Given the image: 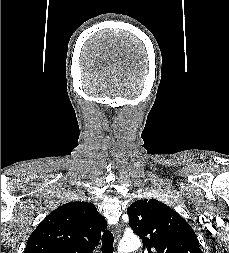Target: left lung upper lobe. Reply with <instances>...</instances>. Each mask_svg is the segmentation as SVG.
I'll use <instances>...</instances> for the list:
<instances>
[{
    "mask_svg": "<svg viewBox=\"0 0 229 253\" xmlns=\"http://www.w3.org/2000/svg\"><path fill=\"white\" fill-rule=\"evenodd\" d=\"M129 226L149 253H202L191 226L156 199L138 200L128 209Z\"/></svg>",
    "mask_w": 229,
    "mask_h": 253,
    "instance_id": "obj_1",
    "label": "left lung upper lobe"
}]
</instances>
